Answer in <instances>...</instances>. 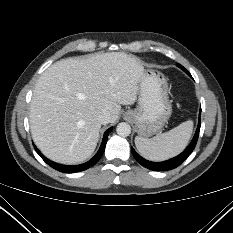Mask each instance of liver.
I'll return each mask as SVG.
<instances>
[{"label": "liver", "instance_id": "liver-1", "mask_svg": "<svg viewBox=\"0 0 233 233\" xmlns=\"http://www.w3.org/2000/svg\"><path fill=\"white\" fill-rule=\"evenodd\" d=\"M141 61L123 52L55 62L39 77L30 105L33 140L49 159L78 164L94 152L102 111L114 123L122 105L134 104Z\"/></svg>", "mask_w": 233, "mask_h": 233}]
</instances>
